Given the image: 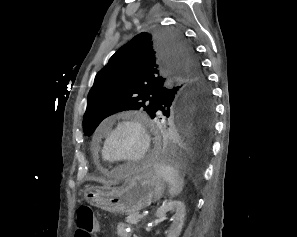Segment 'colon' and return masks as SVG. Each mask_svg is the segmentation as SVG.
<instances>
[{"label":"colon","mask_w":297,"mask_h":237,"mask_svg":"<svg viewBox=\"0 0 297 237\" xmlns=\"http://www.w3.org/2000/svg\"><path fill=\"white\" fill-rule=\"evenodd\" d=\"M76 237H93L96 223L92 209L87 205H81L76 215Z\"/></svg>","instance_id":"1"}]
</instances>
